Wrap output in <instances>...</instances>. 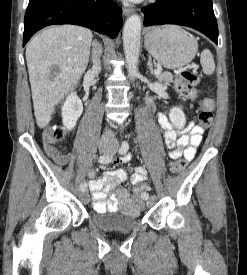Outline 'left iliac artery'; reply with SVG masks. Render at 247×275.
Listing matches in <instances>:
<instances>
[{
  "mask_svg": "<svg viewBox=\"0 0 247 275\" xmlns=\"http://www.w3.org/2000/svg\"><path fill=\"white\" fill-rule=\"evenodd\" d=\"M128 149H129V144H128V142H127V141H123L122 144H121V147H120V149H119V153H120V154H125V153L128 151ZM142 198H143L144 200L149 199V194L146 193V192H144V193L142 194Z\"/></svg>",
  "mask_w": 247,
  "mask_h": 275,
  "instance_id": "1",
  "label": "left iliac artery"
}]
</instances>
